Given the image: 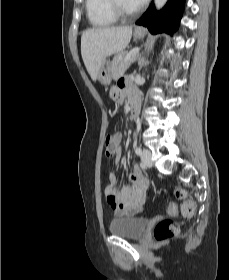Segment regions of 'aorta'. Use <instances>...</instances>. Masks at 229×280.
<instances>
[{"label":"aorta","mask_w":229,"mask_h":280,"mask_svg":"<svg viewBox=\"0 0 229 280\" xmlns=\"http://www.w3.org/2000/svg\"><path fill=\"white\" fill-rule=\"evenodd\" d=\"M166 1L167 0H155V5H156L157 9L162 8L165 5Z\"/></svg>","instance_id":"762f6f07"}]
</instances>
